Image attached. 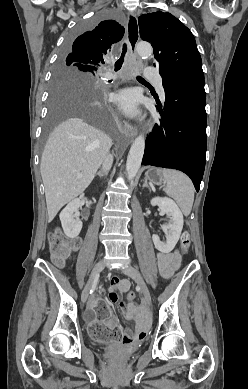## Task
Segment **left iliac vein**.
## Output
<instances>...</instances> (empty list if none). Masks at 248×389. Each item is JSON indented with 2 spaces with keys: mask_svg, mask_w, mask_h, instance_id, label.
Here are the masks:
<instances>
[{
  "mask_svg": "<svg viewBox=\"0 0 248 389\" xmlns=\"http://www.w3.org/2000/svg\"><path fill=\"white\" fill-rule=\"evenodd\" d=\"M121 271H122V273L131 277L132 279H134L137 282V284L141 288V291H142V294L145 298L146 304L150 307L151 306V295H150L149 289H148L142 275L140 274V272L130 265H127Z\"/></svg>",
  "mask_w": 248,
  "mask_h": 389,
  "instance_id": "obj_1",
  "label": "left iliac vein"
}]
</instances>
